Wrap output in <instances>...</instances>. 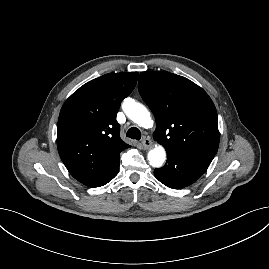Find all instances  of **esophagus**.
Instances as JSON below:
<instances>
[{"label":"esophagus","mask_w":269,"mask_h":269,"mask_svg":"<svg viewBox=\"0 0 269 269\" xmlns=\"http://www.w3.org/2000/svg\"><path fill=\"white\" fill-rule=\"evenodd\" d=\"M141 143L145 149H149L152 145V142L149 137H143Z\"/></svg>","instance_id":"34e87169"}]
</instances>
